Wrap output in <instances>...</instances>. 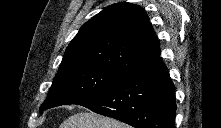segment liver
Masks as SVG:
<instances>
[{
	"label": "liver",
	"mask_w": 221,
	"mask_h": 128,
	"mask_svg": "<svg viewBox=\"0 0 221 128\" xmlns=\"http://www.w3.org/2000/svg\"><path fill=\"white\" fill-rule=\"evenodd\" d=\"M60 128H130L129 125L94 112H81L70 116Z\"/></svg>",
	"instance_id": "liver-1"
}]
</instances>
